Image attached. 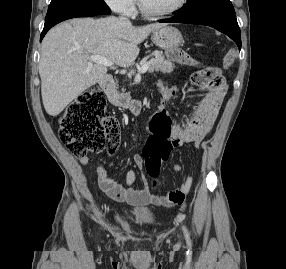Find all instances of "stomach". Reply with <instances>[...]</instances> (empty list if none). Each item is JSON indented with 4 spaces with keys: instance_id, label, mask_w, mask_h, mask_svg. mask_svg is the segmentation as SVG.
Masks as SVG:
<instances>
[{
    "instance_id": "1",
    "label": "stomach",
    "mask_w": 286,
    "mask_h": 269,
    "mask_svg": "<svg viewBox=\"0 0 286 269\" xmlns=\"http://www.w3.org/2000/svg\"><path fill=\"white\" fill-rule=\"evenodd\" d=\"M151 39L161 49H178L183 41L180 31L172 26L153 31Z\"/></svg>"
}]
</instances>
